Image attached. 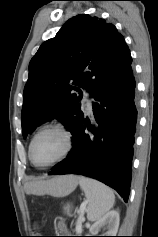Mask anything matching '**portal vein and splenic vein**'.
I'll use <instances>...</instances> for the list:
<instances>
[{
    "label": "portal vein and splenic vein",
    "mask_w": 158,
    "mask_h": 237,
    "mask_svg": "<svg viewBox=\"0 0 158 237\" xmlns=\"http://www.w3.org/2000/svg\"><path fill=\"white\" fill-rule=\"evenodd\" d=\"M85 208H86V202H84L81 205L80 210H79L80 216L78 218L77 226H76V228H78V229H81L82 222L84 221L83 213H84Z\"/></svg>",
    "instance_id": "1"
}]
</instances>
